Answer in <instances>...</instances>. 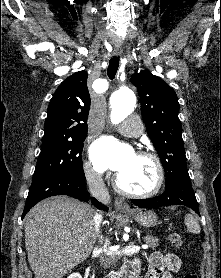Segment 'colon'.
I'll use <instances>...</instances> for the list:
<instances>
[{"label":"colon","mask_w":221,"mask_h":278,"mask_svg":"<svg viewBox=\"0 0 221 278\" xmlns=\"http://www.w3.org/2000/svg\"><path fill=\"white\" fill-rule=\"evenodd\" d=\"M169 241L171 245L177 248H183L185 246L182 237L178 233H171ZM184 278H197V276L192 270H189L185 273Z\"/></svg>","instance_id":"obj_1"}]
</instances>
